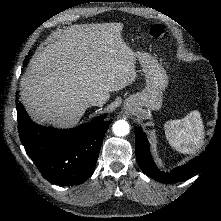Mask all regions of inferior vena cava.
I'll return each instance as SVG.
<instances>
[{
	"label": "inferior vena cava",
	"mask_w": 221,
	"mask_h": 221,
	"mask_svg": "<svg viewBox=\"0 0 221 221\" xmlns=\"http://www.w3.org/2000/svg\"><path fill=\"white\" fill-rule=\"evenodd\" d=\"M104 104V100L101 98H90L87 100V105L90 106H102Z\"/></svg>",
	"instance_id": "obj_1"
}]
</instances>
